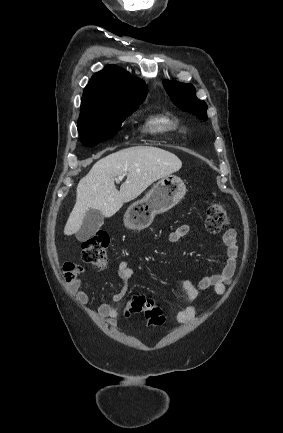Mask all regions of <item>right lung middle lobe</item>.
Instances as JSON below:
<instances>
[{
	"label": "right lung middle lobe",
	"instance_id": "1",
	"mask_svg": "<svg viewBox=\"0 0 283 433\" xmlns=\"http://www.w3.org/2000/svg\"><path fill=\"white\" fill-rule=\"evenodd\" d=\"M138 107H121L105 110L81 111L78 131L82 143L92 147L115 134L127 116Z\"/></svg>",
	"mask_w": 283,
	"mask_h": 433
}]
</instances>
